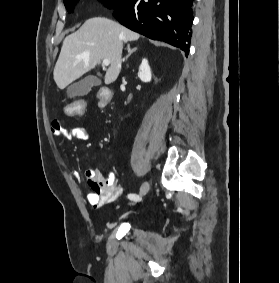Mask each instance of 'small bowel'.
Returning <instances> with one entry per match:
<instances>
[{
    "label": "small bowel",
    "mask_w": 280,
    "mask_h": 283,
    "mask_svg": "<svg viewBox=\"0 0 280 283\" xmlns=\"http://www.w3.org/2000/svg\"><path fill=\"white\" fill-rule=\"evenodd\" d=\"M74 103V102H72ZM50 132L53 136H64L71 140L86 141L89 138L88 131L83 126H74L67 129L59 121L51 123ZM72 176L76 179L81 177L78 170L72 171ZM85 177L91 192L87 194V199L94 209H99L119 198L123 193V188L115 180L113 173H109L106 178L97 168H87Z\"/></svg>",
    "instance_id": "obj_1"
}]
</instances>
